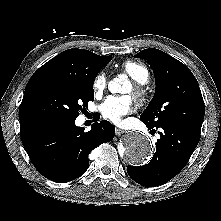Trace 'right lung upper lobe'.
<instances>
[{"label": "right lung upper lobe", "mask_w": 221, "mask_h": 221, "mask_svg": "<svg viewBox=\"0 0 221 221\" xmlns=\"http://www.w3.org/2000/svg\"><path fill=\"white\" fill-rule=\"evenodd\" d=\"M111 57L99 56L84 49H68L41 66L32 75L26 88L37 80L49 76L90 77Z\"/></svg>", "instance_id": "cb5924a9"}]
</instances>
